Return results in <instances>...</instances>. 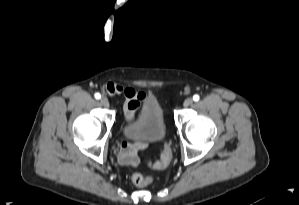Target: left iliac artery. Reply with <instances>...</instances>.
Listing matches in <instances>:
<instances>
[{"instance_id": "obj_1", "label": "left iliac artery", "mask_w": 299, "mask_h": 205, "mask_svg": "<svg viewBox=\"0 0 299 205\" xmlns=\"http://www.w3.org/2000/svg\"><path fill=\"white\" fill-rule=\"evenodd\" d=\"M199 98H200V97H199V95H197V94H195V95L193 96V100H194V101H198Z\"/></svg>"}]
</instances>
